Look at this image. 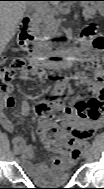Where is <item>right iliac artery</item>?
I'll return each instance as SVG.
<instances>
[{"label": "right iliac artery", "instance_id": "obj_1", "mask_svg": "<svg viewBox=\"0 0 104 189\" xmlns=\"http://www.w3.org/2000/svg\"><path fill=\"white\" fill-rule=\"evenodd\" d=\"M17 146V144H16V142H14V147H16Z\"/></svg>", "mask_w": 104, "mask_h": 189}]
</instances>
